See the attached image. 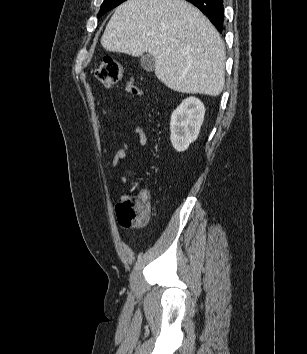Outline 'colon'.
Wrapping results in <instances>:
<instances>
[{"label":"colon","mask_w":307,"mask_h":354,"mask_svg":"<svg viewBox=\"0 0 307 354\" xmlns=\"http://www.w3.org/2000/svg\"><path fill=\"white\" fill-rule=\"evenodd\" d=\"M96 79L106 87L118 83L123 79L121 64L106 57L95 69ZM131 91L140 94V90L131 84ZM154 207V201L147 191H141L137 195H123L116 205V216L119 224L124 228L141 227L145 225Z\"/></svg>","instance_id":"5ec220e1"}]
</instances>
